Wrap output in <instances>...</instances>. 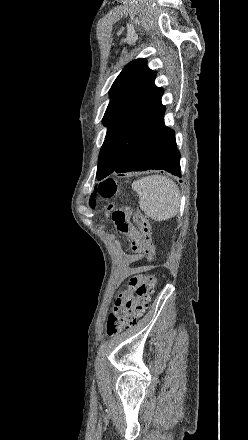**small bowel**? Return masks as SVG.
<instances>
[{"label":"small bowel","mask_w":248,"mask_h":440,"mask_svg":"<svg viewBox=\"0 0 248 440\" xmlns=\"http://www.w3.org/2000/svg\"><path fill=\"white\" fill-rule=\"evenodd\" d=\"M126 234L128 235V237L131 240V248H132L134 254L126 255L124 257V261L127 262V263L136 262V261H138L140 259V255L138 254L139 251L137 249V243H138V240H139V237H140V234H141V229L137 225H132L130 231L128 233H126ZM142 271H143V269L141 267H135V268H130L128 270V273L131 274V275H136V274L141 273ZM127 295H125L123 297H120L116 301V307L117 308H119V309L120 308H125L124 298Z\"/></svg>","instance_id":"1"}]
</instances>
